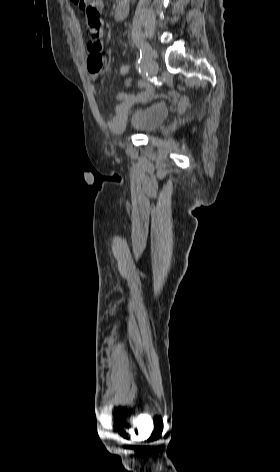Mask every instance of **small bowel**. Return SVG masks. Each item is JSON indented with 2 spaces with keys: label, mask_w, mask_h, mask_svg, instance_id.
Returning <instances> with one entry per match:
<instances>
[{
  "label": "small bowel",
  "mask_w": 280,
  "mask_h": 472,
  "mask_svg": "<svg viewBox=\"0 0 280 472\" xmlns=\"http://www.w3.org/2000/svg\"><path fill=\"white\" fill-rule=\"evenodd\" d=\"M118 5H123L128 9V0H120ZM87 30L89 35V43L87 46V69L91 79L95 80L101 74L103 65V31L101 20L98 23L87 21ZM126 84L129 85L130 80H128ZM138 85L139 87L144 88V91L140 92L137 95L129 94L124 91H121L117 94L116 106L108 119V125L110 128L117 129L118 127H120L131 105L134 104L136 101L147 97L151 93L150 88L144 80H139Z\"/></svg>",
  "instance_id": "obj_1"
}]
</instances>
